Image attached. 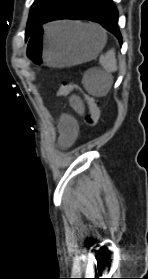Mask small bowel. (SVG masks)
I'll list each match as a JSON object with an SVG mask.
<instances>
[{
  "label": "small bowel",
  "instance_id": "small-bowel-1",
  "mask_svg": "<svg viewBox=\"0 0 148 279\" xmlns=\"http://www.w3.org/2000/svg\"><path fill=\"white\" fill-rule=\"evenodd\" d=\"M71 104L77 112L83 113V105L79 99L72 98ZM59 132L60 144L63 147L71 146L76 141L79 132L77 120L70 115H63L61 117Z\"/></svg>",
  "mask_w": 148,
  "mask_h": 279
}]
</instances>
